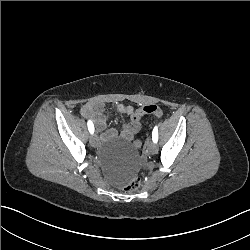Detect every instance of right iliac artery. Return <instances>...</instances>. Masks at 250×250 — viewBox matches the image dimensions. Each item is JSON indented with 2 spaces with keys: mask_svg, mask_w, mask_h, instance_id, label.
I'll list each match as a JSON object with an SVG mask.
<instances>
[{
  "mask_svg": "<svg viewBox=\"0 0 250 250\" xmlns=\"http://www.w3.org/2000/svg\"><path fill=\"white\" fill-rule=\"evenodd\" d=\"M87 125H88L89 132L91 134H93L94 133V125H93L92 121L89 120Z\"/></svg>",
  "mask_w": 250,
  "mask_h": 250,
  "instance_id": "1",
  "label": "right iliac artery"
}]
</instances>
